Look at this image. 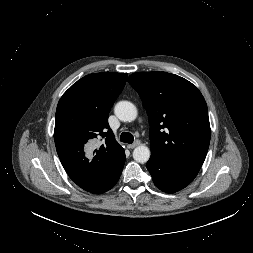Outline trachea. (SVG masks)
<instances>
[{
	"label": "trachea",
	"mask_w": 253,
	"mask_h": 253,
	"mask_svg": "<svg viewBox=\"0 0 253 253\" xmlns=\"http://www.w3.org/2000/svg\"><path fill=\"white\" fill-rule=\"evenodd\" d=\"M121 142L132 144L134 141V137L129 132H123L120 136Z\"/></svg>",
	"instance_id": "3493384b"
}]
</instances>
